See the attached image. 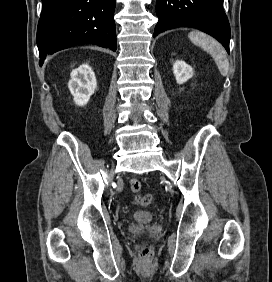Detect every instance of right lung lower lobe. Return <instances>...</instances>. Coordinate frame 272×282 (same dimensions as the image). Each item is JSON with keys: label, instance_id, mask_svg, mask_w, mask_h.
Listing matches in <instances>:
<instances>
[{"label": "right lung lower lobe", "instance_id": "1", "mask_svg": "<svg viewBox=\"0 0 272 282\" xmlns=\"http://www.w3.org/2000/svg\"><path fill=\"white\" fill-rule=\"evenodd\" d=\"M37 28L40 65L48 55L91 43L116 51V0H42Z\"/></svg>", "mask_w": 272, "mask_h": 282}]
</instances>
